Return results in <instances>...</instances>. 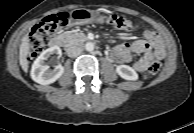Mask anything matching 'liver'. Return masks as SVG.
I'll use <instances>...</instances> for the list:
<instances>
[{
	"label": "liver",
	"mask_w": 194,
	"mask_h": 133,
	"mask_svg": "<svg viewBox=\"0 0 194 133\" xmlns=\"http://www.w3.org/2000/svg\"><path fill=\"white\" fill-rule=\"evenodd\" d=\"M30 53V41L29 36L26 35L22 39V43L19 49V62L24 72L28 71V55Z\"/></svg>",
	"instance_id": "1"
}]
</instances>
